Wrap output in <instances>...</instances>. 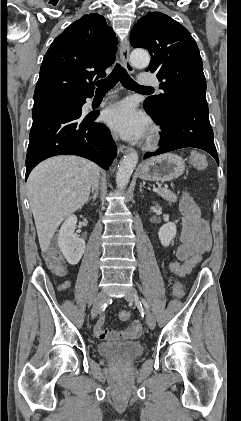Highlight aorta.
<instances>
[{"label":"aorta","mask_w":241,"mask_h":421,"mask_svg":"<svg viewBox=\"0 0 241 421\" xmlns=\"http://www.w3.org/2000/svg\"><path fill=\"white\" fill-rule=\"evenodd\" d=\"M130 61L133 66L144 68L150 63V55L144 49H135L131 52ZM138 158L136 152H131L120 161L116 173V184L118 188L124 189L127 187L133 170L137 165Z\"/></svg>","instance_id":"obj_1"}]
</instances>
